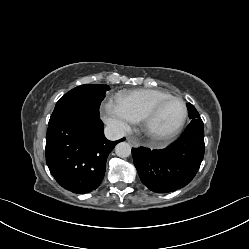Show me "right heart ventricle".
<instances>
[{"instance_id": "right-heart-ventricle-1", "label": "right heart ventricle", "mask_w": 249, "mask_h": 249, "mask_svg": "<svg viewBox=\"0 0 249 249\" xmlns=\"http://www.w3.org/2000/svg\"><path fill=\"white\" fill-rule=\"evenodd\" d=\"M169 96H171L169 93L161 90L139 89L119 94L116 100L124 105L139 120L154 104Z\"/></svg>"}]
</instances>
